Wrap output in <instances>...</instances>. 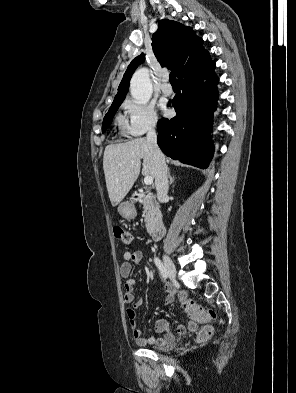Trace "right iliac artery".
<instances>
[{
  "instance_id": "obj_1",
  "label": "right iliac artery",
  "mask_w": 296,
  "mask_h": 393,
  "mask_svg": "<svg viewBox=\"0 0 296 393\" xmlns=\"http://www.w3.org/2000/svg\"><path fill=\"white\" fill-rule=\"evenodd\" d=\"M154 262H155L157 268L159 269L162 278L164 280H166L168 277V272H167L166 267L164 266V264L162 263V261L158 257L154 258Z\"/></svg>"
}]
</instances>
